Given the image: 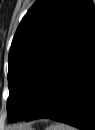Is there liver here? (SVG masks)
<instances>
[{"mask_svg":"<svg viewBox=\"0 0 95 130\" xmlns=\"http://www.w3.org/2000/svg\"><path fill=\"white\" fill-rule=\"evenodd\" d=\"M17 130H29L30 127L29 126H20V127H16Z\"/></svg>","mask_w":95,"mask_h":130,"instance_id":"liver-1","label":"liver"}]
</instances>
